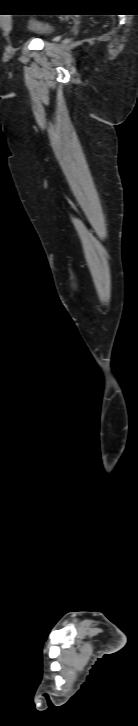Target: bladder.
Segmentation results:
<instances>
[{
  "mask_svg": "<svg viewBox=\"0 0 138 726\" xmlns=\"http://www.w3.org/2000/svg\"><path fill=\"white\" fill-rule=\"evenodd\" d=\"M61 25L48 19H36L31 21L26 31L30 35L47 38L59 32Z\"/></svg>",
  "mask_w": 138,
  "mask_h": 726,
  "instance_id": "31cf9c89",
  "label": "bladder"
}]
</instances>
